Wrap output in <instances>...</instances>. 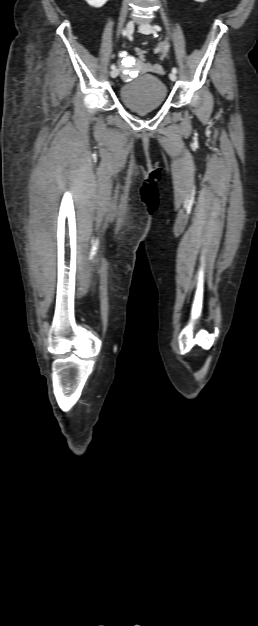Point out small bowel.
Instances as JSON below:
<instances>
[{
	"label": "small bowel",
	"instance_id": "1",
	"mask_svg": "<svg viewBox=\"0 0 258 626\" xmlns=\"http://www.w3.org/2000/svg\"><path fill=\"white\" fill-rule=\"evenodd\" d=\"M166 52H167V44H166V42L160 43L157 46V54H158L159 60H162V59L165 58ZM120 56H121V63H122V65L126 69H128L130 67H138V66L142 65V63L139 60H136V59L126 55L125 53H121ZM147 69L149 71H151V72L160 73V74L163 73V69L160 66V64H158V63L147 66Z\"/></svg>",
	"mask_w": 258,
	"mask_h": 626
}]
</instances>
